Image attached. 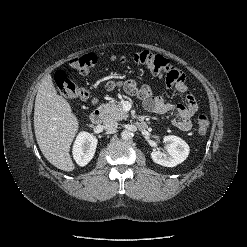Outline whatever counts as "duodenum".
Wrapping results in <instances>:
<instances>
[{
  "label": "duodenum",
  "mask_w": 247,
  "mask_h": 247,
  "mask_svg": "<svg viewBox=\"0 0 247 247\" xmlns=\"http://www.w3.org/2000/svg\"><path fill=\"white\" fill-rule=\"evenodd\" d=\"M104 119V111L101 108H96L95 110L92 111L90 114V120L94 124H100ZM137 126L140 129H145L147 127V123L143 119H139L137 121Z\"/></svg>",
  "instance_id": "1"
}]
</instances>
